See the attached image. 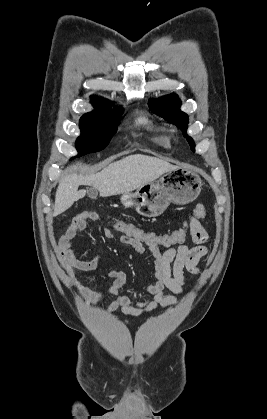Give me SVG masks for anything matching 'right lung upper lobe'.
<instances>
[{
	"label": "right lung upper lobe",
	"instance_id": "1",
	"mask_svg": "<svg viewBox=\"0 0 267 419\" xmlns=\"http://www.w3.org/2000/svg\"><path fill=\"white\" fill-rule=\"evenodd\" d=\"M93 99L96 100V102H94V103H99V102H102L103 101V100H99L98 97H94Z\"/></svg>",
	"mask_w": 267,
	"mask_h": 419
}]
</instances>
